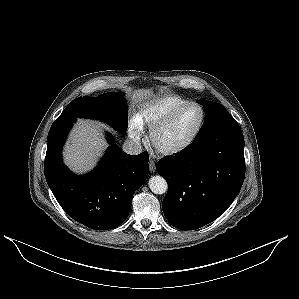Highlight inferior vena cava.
Instances as JSON below:
<instances>
[{"instance_id": "1", "label": "inferior vena cava", "mask_w": 299, "mask_h": 299, "mask_svg": "<svg viewBox=\"0 0 299 299\" xmlns=\"http://www.w3.org/2000/svg\"><path fill=\"white\" fill-rule=\"evenodd\" d=\"M124 152L130 155H138L142 152L141 144L138 141L127 140L122 146Z\"/></svg>"}]
</instances>
